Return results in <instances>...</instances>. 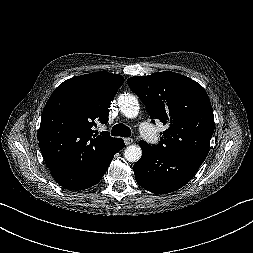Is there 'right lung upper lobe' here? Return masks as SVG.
<instances>
[{"label":"right lung upper lobe","mask_w":253,"mask_h":253,"mask_svg":"<svg viewBox=\"0 0 253 253\" xmlns=\"http://www.w3.org/2000/svg\"><path fill=\"white\" fill-rule=\"evenodd\" d=\"M121 75L96 72L61 83L48 99L38 131L49 170L73 167L105 153L119 138L93 134L95 122H108L110 102L123 84Z\"/></svg>","instance_id":"1"}]
</instances>
